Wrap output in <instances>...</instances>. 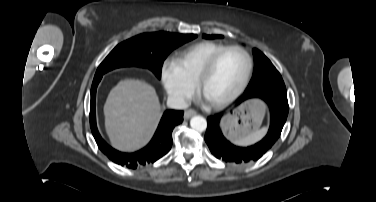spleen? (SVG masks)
<instances>
[{
	"label": "spleen",
	"mask_w": 376,
	"mask_h": 202,
	"mask_svg": "<svg viewBox=\"0 0 376 202\" xmlns=\"http://www.w3.org/2000/svg\"><path fill=\"white\" fill-rule=\"evenodd\" d=\"M266 133V128H262L260 130H257L256 132L236 141L237 144L239 145H251V144H254L256 142H258L259 140H261L263 138V136L265 135Z\"/></svg>",
	"instance_id": "obj_1"
}]
</instances>
